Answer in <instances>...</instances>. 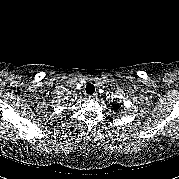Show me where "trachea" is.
Wrapping results in <instances>:
<instances>
[{"label": "trachea", "mask_w": 179, "mask_h": 179, "mask_svg": "<svg viewBox=\"0 0 179 179\" xmlns=\"http://www.w3.org/2000/svg\"><path fill=\"white\" fill-rule=\"evenodd\" d=\"M86 93L89 94V95H92L94 92H95V87L93 84L89 83L87 86H86Z\"/></svg>", "instance_id": "trachea-1"}]
</instances>
